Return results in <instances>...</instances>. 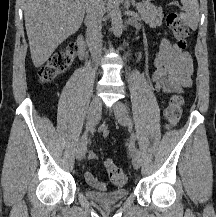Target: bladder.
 Here are the masks:
<instances>
[{
    "label": "bladder",
    "instance_id": "obj_1",
    "mask_svg": "<svg viewBox=\"0 0 216 217\" xmlns=\"http://www.w3.org/2000/svg\"><path fill=\"white\" fill-rule=\"evenodd\" d=\"M85 195L98 204L111 205L124 201L129 195V190L126 187H120L107 192H97L87 188Z\"/></svg>",
    "mask_w": 216,
    "mask_h": 217
}]
</instances>
